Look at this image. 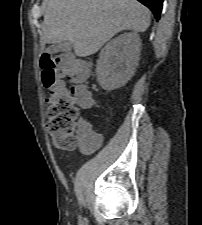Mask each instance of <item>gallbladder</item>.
<instances>
[{
    "mask_svg": "<svg viewBox=\"0 0 202 225\" xmlns=\"http://www.w3.org/2000/svg\"><path fill=\"white\" fill-rule=\"evenodd\" d=\"M73 45L71 42L69 41H63V42H59L57 44H54L52 46L49 47V52L51 54H55L58 52H70L72 49Z\"/></svg>",
    "mask_w": 202,
    "mask_h": 225,
    "instance_id": "1",
    "label": "gallbladder"
}]
</instances>
